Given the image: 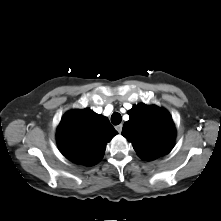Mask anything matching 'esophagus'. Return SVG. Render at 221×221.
Returning <instances> with one entry per match:
<instances>
[{
	"instance_id": "esophagus-1",
	"label": "esophagus",
	"mask_w": 221,
	"mask_h": 221,
	"mask_svg": "<svg viewBox=\"0 0 221 221\" xmlns=\"http://www.w3.org/2000/svg\"><path fill=\"white\" fill-rule=\"evenodd\" d=\"M122 127H123V125H122V124H119V125H117L115 128H116V130H117L119 133H121Z\"/></svg>"
}]
</instances>
